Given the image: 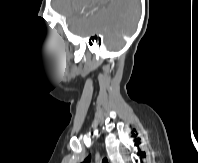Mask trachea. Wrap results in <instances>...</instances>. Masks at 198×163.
Returning a JSON list of instances; mask_svg holds the SVG:
<instances>
[{
  "label": "trachea",
  "mask_w": 198,
  "mask_h": 163,
  "mask_svg": "<svg viewBox=\"0 0 198 163\" xmlns=\"http://www.w3.org/2000/svg\"><path fill=\"white\" fill-rule=\"evenodd\" d=\"M102 163H108V160L106 158H104Z\"/></svg>",
  "instance_id": "obj_1"
}]
</instances>
